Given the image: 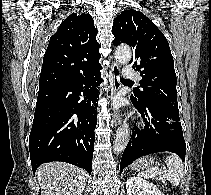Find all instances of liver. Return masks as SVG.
Returning a JSON list of instances; mask_svg holds the SVG:
<instances>
[{
	"label": "liver",
	"mask_w": 211,
	"mask_h": 195,
	"mask_svg": "<svg viewBox=\"0 0 211 195\" xmlns=\"http://www.w3.org/2000/svg\"><path fill=\"white\" fill-rule=\"evenodd\" d=\"M41 195H81L87 183V173L63 163L42 164L36 171Z\"/></svg>",
	"instance_id": "1"
}]
</instances>
